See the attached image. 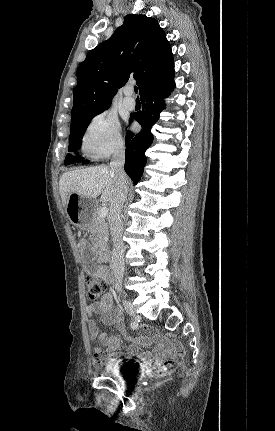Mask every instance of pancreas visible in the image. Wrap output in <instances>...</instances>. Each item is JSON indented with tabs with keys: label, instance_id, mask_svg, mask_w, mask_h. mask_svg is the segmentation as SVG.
<instances>
[{
	"label": "pancreas",
	"instance_id": "pancreas-1",
	"mask_svg": "<svg viewBox=\"0 0 275 431\" xmlns=\"http://www.w3.org/2000/svg\"><path fill=\"white\" fill-rule=\"evenodd\" d=\"M91 233L90 239L94 250H100L104 247L106 234H107V223L104 217L99 214V208L94 209L92 213L91 225L89 227Z\"/></svg>",
	"mask_w": 275,
	"mask_h": 431
}]
</instances>
